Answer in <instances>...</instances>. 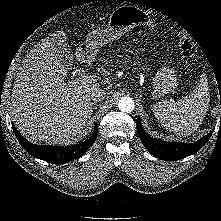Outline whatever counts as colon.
<instances>
[{"label":"colon","mask_w":221,"mask_h":221,"mask_svg":"<svg viewBox=\"0 0 221 221\" xmlns=\"http://www.w3.org/2000/svg\"><path fill=\"white\" fill-rule=\"evenodd\" d=\"M176 32L179 35V48L185 58H189L192 55L194 43L191 38L181 29L176 28Z\"/></svg>","instance_id":"obj_1"}]
</instances>
